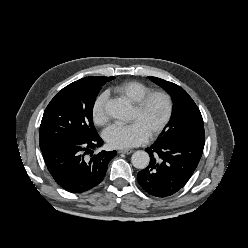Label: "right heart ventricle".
<instances>
[{
    "mask_svg": "<svg viewBox=\"0 0 248 248\" xmlns=\"http://www.w3.org/2000/svg\"><path fill=\"white\" fill-rule=\"evenodd\" d=\"M113 91L136 103L142 96L150 91V87L137 80L125 81L113 88Z\"/></svg>",
    "mask_w": 248,
    "mask_h": 248,
    "instance_id": "e07e8e85",
    "label": "right heart ventricle"
}]
</instances>
